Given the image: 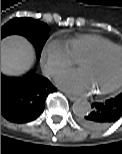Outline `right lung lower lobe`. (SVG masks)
Returning a JSON list of instances; mask_svg holds the SVG:
<instances>
[{
  "mask_svg": "<svg viewBox=\"0 0 122 154\" xmlns=\"http://www.w3.org/2000/svg\"><path fill=\"white\" fill-rule=\"evenodd\" d=\"M52 91L51 82L33 71L16 78L1 74V115L14 123L30 122L43 112Z\"/></svg>",
  "mask_w": 122,
  "mask_h": 154,
  "instance_id": "1",
  "label": "right lung lower lobe"
}]
</instances>
